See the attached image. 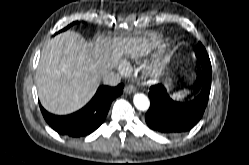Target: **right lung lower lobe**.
<instances>
[{
	"mask_svg": "<svg viewBox=\"0 0 249 165\" xmlns=\"http://www.w3.org/2000/svg\"><path fill=\"white\" fill-rule=\"evenodd\" d=\"M123 84L100 86L94 97L82 109L69 115H54L41 105L44 119L60 135L82 137L95 131L105 120L111 102L123 93Z\"/></svg>",
	"mask_w": 249,
	"mask_h": 165,
	"instance_id": "1",
	"label": "right lung lower lobe"
}]
</instances>
